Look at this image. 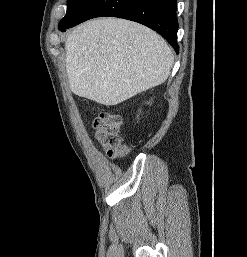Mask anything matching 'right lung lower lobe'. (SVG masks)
<instances>
[{
  "instance_id": "98d812e1",
  "label": "right lung lower lobe",
  "mask_w": 247,
  "mask_h": 257,
  "mask_svg": "<svg viewBox=\"0 0 247 257\" xmlns=\"http://www.w3.org/2000/svg\"><path fill=\"white\" fill-rule=\"evenodd\" d=\"M176 7L177 0H93L76 20L58 28L65 32L95 17L124 18L157 31L178 53Z\"/></svg>"
}]
</instances>
